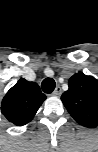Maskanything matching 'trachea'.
Instances as JSON below:
<instances>
[{
  "mask_svg": "<svg viewBox=\"0 0 98 152\" xmlns=\"http://www.w3.org/2000/svg\"><path fill=\"white\" fill-rule=\"evenodd\" d=\"M56 83L52 78H46L41 83V88L45 93H52L55 89Z\"/></svg>",
  "mask_w": 98,
  "mask_h": 152,
  "instance_id": "trachea-1",
  "label": "trachea"
}]
</instances>
